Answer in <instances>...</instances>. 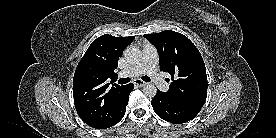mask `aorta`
Returning a JSON list of instances; mask_svg holds the SVG:
<instances>
[{"mask_svg": "<svg viewBox=\"0 0 276 138\" xmlns=\"http://www.w3.org/2000/svg\"><path fill=\"white\" fill-rule=\"evenodd\" d=\"M124 57L128 63L136 64L141 59V51L136 47H127L124 51ZM143 92L147 97L153 98L157 93V89L155 85L149 83L144 86Z\"/></svg>", "mask_w": 276, "mask_h": 138, "instance_id": "obj_1", "label": "aorta"}]
</instances>
